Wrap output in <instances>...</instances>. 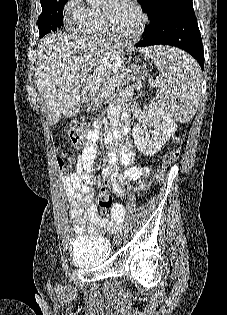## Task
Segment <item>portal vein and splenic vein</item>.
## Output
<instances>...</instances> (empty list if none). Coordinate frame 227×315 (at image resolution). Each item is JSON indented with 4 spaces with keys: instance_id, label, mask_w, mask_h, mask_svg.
<instances>
[{
    "instance_id": "1",
    "label": "portal vein and splenic vein",
    "mask_w": 227,
    "mask_h": 315,
    "mask_svg": "<svg viewBox=\"0 0 227 315\" xmlns=\"http://www.w3.org/2000/svg\"><path fill=\"white\" fill-rule=\"evenodd\" d=\"M121 76L118 74V75H116L114 78H113V80L111 81V85L112 86H114L117 82H118V79L120 78ZM150 81H151V79H150ZM91 82L89 81V84H90ZM157 83H159V81H156V82H153L152 81V85H155V84H157ZM110 93H111V89H108L107 91H105L104 93H103V96H109L110 95Z\"/></svg>"
}]
</instances>
